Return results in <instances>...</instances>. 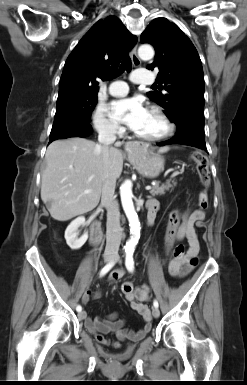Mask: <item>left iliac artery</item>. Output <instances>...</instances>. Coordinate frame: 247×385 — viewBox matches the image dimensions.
<instances>
[{
    "mask_svg": "<svg viewBox=\"0 0 247 385\" xmlns=\"http://www.w3.org/2000/svg\"><path fill=\"white\" fill-rule=\"evenodd\" d=\"M125 265L129 272L134 271V259H133V251L126 252ZM154 307L158 308L159 304L157 300L153 301Z\"/></svg>",
    "mask_w": 247,
    "mask_h": 385,
    "instance_id": "44dca946",
    "label": "left iliac artery"
}]
</instances>
